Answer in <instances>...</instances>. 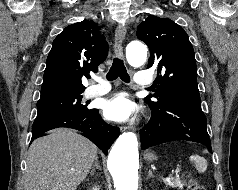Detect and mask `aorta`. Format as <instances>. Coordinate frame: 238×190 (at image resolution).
<instances>
[{"mask_svg": "<svg viewBox=\"0 0 238 190\" xmlns=\"http://www.w3.org/2000/svg\"><path fill=\"white\" fill-rule=\"evenodd\" d=\"M127 60L132 66H141L147 59L146 46L140 41H132L126 48ZM138 141L133 132L121 134L108 156V168L116 190L138 189Z\"/></svg>", "mask_w": 238, "mask_h": 190, "instance_id": "aorta-1", "label": "aorta"}]
</instances>
